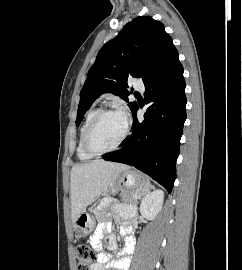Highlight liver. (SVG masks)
Masks as SVG:
<instances>
[{
	"mask_svg": "<svg viewBox=\"0 0 242 270\" xmlns=\"http://www.w3.org/2000/svg\"><path fill=\"white\" fill-rule=\"evenodd\" d=\"M127 169V165L103 160L74 166L71 170L72 223L86 211L91 202L108 191L119 174Z\"/></svg>",
	"mask_w": 242,
	"mask_h": 270,
	"instance_id": "6515ba94",
	"label": "liver"
}]
</instances>
